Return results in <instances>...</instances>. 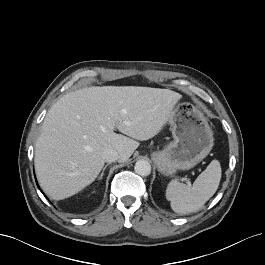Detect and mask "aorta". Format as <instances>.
<instances>
[{"label":"aorta","instance_id":"762f6f07","mask_svg":"<svg viewBox=\"0 0 265 265\" xmlns=\"http://www.w3.org/2000/svg\"><path fill=\"white\" fill-rule=\"evenodd\" d=\"M134 169L135 172L140 176H148L151 173V165L146 160H138Z\"/></svg>","mask_w":265,"mask_h":265}]
</instances>
